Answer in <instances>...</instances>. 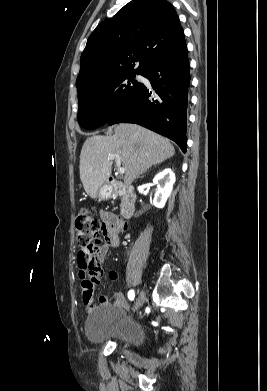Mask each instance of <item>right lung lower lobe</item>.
<instances>
[{
  "instance_id": "98d812e1",
  "label": "right lung lower lobe",
  "mask_w": 267,
  "mask_h": 391,
  "mask_svg": "<svg viewBox=\"0 0 267 391\" xmlns=\"http://www.w3.org/2000/svg\"><path fill=\"white\" fill-rule=\"evenodd\" d=\"M142 75L155 91L142 85L109 119L110 125L136 123L175 141L186 152L188 88L190 86L187 46L150 63Z\"/></svg>"
}]
</instances>
